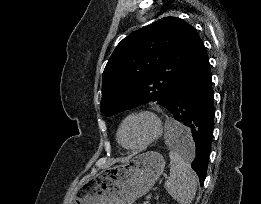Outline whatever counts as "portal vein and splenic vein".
<instances>
[{
	"mask_svg": "<svg viewBox=\"0 0 261 204\" xmlns=\"http://www.w3.org/2000/svg\"><path fill=\"white\" fill-rule=\"evenodd\" d=\"M151 194H149L146 199L144 200L143 204H149L150 203Z\"/></svg>",
	"mask_w": 261,
	"mask_h": 204,
	"instance_id": "obj_1",
	"label": "portal vein and splenic vein"
}]
</instances>
